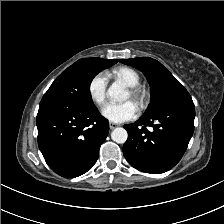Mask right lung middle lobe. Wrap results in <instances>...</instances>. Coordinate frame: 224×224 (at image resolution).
<instances>
[{
	"mask_svg": "<svg viewBox=\"0 0 224 224\" xmlns=\"http://www.w3.org/2000/svg\"><path fill=\"white\" fill-rule=\"evenodd\" d=\"M117 62L95 57L80 59L57 77L45 95H55L77 104L93 106L90 94L93 78Z\"/></svg>",
	"mask_w": 224,
	"mask_h": 224,
	"instance_id": "right-lung-middle-lobe-1",
	"label": "right lung middle lobe"
}]
</instances>
